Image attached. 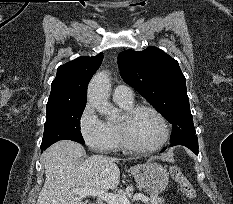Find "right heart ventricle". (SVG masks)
I'll return each mask as SVG.
<instances>
[{
	"label": "right heart ventricle",
	"mask_w": 233,
	"mask_h": 204,
	"mask_svg": "<svg viewBox=\"0 0 233 204\" xmlns=\"http://www.w3.org/2000/svg\"><path fill=\"white\" fill-rule=\"evenodd\" d=\"M115 102L120 107V109L123 111L131 108L134 105L133 100H131V101H115ZM108 127H109V130H110L112 137H113V149L123 148L124 145H123L121 135H120V132L118 129V124L109 123Z\"/></svg>",
	"instance_id": "e07e8e85"
}]
</instances>
